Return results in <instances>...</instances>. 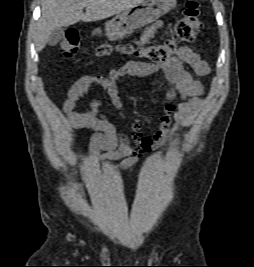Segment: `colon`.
I'll return each mask as SVG.
<instances>
[{
  "mask_svg": "<svg viewBox=\"0 0 254 267\" xmlns=\"http://www.w3.org/2000/svg\"><path fill=\"white\" fill-rule=\"evenodd\" d=\"M202 29L199 4L195 0L186 3L185 10L180 19L172 27L170 37L162 43L147 47H133L129 44L119 46L122 53L135 54L145 57L153 62L162 63L173 57L179 51V45L193 41ZM80 45V36L77 30H67L60 43L62 54L65 58H72ZM116 48L109 43H102L97 47L99 56L110 55Z\"/></svg>",
  "mask_w": 254,
  "mask_h": 267,
  "instance_id": "5ec220e1",
  "label": "colon"
}]
</instances>
